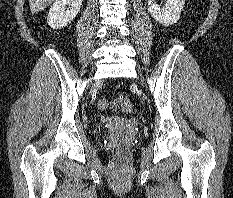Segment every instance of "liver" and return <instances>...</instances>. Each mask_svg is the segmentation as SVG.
<instances>
[{"instance_id":"liver-1","label":"liver","mask_w":233,"mask_h":198,"mask_svg":"<svg viewBox=\"0 0 233 198\" xmlns=\"http://www.w3.org/2000/svg\"><path fill=\"white\" fill-rule=\"evenodd\" d=\"M54 0H29L30 10L32 14H36L44 10Z\"/></svg>"}]
</instances>
